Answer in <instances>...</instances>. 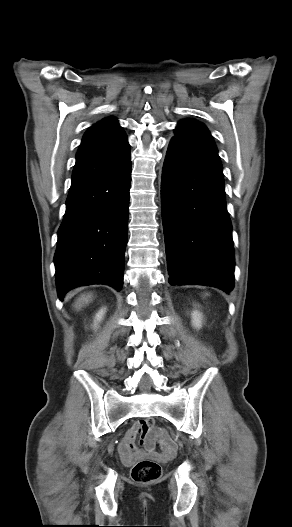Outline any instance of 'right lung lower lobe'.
<instances>
[{
  "mask_svg": "<svg viewBox=\"0 0 292 527\" xmlns=\"http://www.w3.org/2000/svg\"><path fill=\"white\" fill-rule=\"evenodd\" d=\"M130 183L128 142L114 149L77 152L54 256L60 300L83 285L121 290Z\"/></svg>",
  "mask_w": 292,
  "mask_h": 527,
  "instance_id": "1",
  "label": "right lung lower lobe"
}]
</instances>
